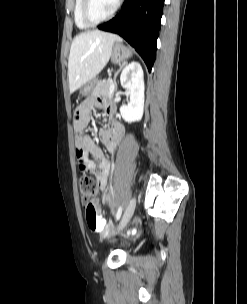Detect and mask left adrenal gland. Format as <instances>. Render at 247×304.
<instances>
[{
  "label": "left adrenal gland",
  "instance_id": "obj_1",
  "mask_svg": "<svg viewBox=\"0 0 247 304\" xmlns=\"http://www.w3.org/2000/svg\"><path fill=\"white\" fill-rule=\"evenodd\" d=\"M127 62H123L122 65L120 66V68L118 69V71L115 73L114 75V84H115V89L117 90V82H116V78L119 74V72L121 71V69L123 68L124 65H126Z\"/></svg>",
  "mask_w": 247,
  "mask_h": 304
}]
</instances>
